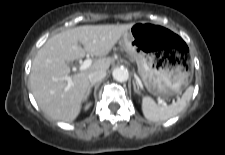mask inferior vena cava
<instances>
[{"instance_id": "inferior-vena-cava-1", "label": "inferior vena cava", "mask_w": 225, "mask_h": 155, "mask_svg": "<svg viewBox=\"0 0 225 155\" xmlns=\"http://www.w3.org/2000/svg\"><path fill=\"white\" fill-rule=\"evenodd\" d=\"M105 76H106V71L103 69H98V70L91 72L89 74L88 78H89V82L91 84H95V83L101 81L102 79H104Z\"/></svg>"}]
</instances>
